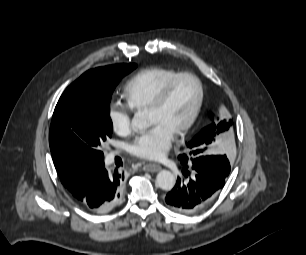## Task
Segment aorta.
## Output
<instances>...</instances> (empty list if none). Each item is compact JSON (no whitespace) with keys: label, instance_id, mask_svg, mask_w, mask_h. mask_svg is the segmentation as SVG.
Here are the masks:
<instances>
[{"label":"aorta","instance_id":"1","mask_svg":"<svg viewBox=\"0 0 306 255\" xmlns=\"http://www.w3.org/2000/svg\"><path fill=\"white\" fill-rule=\"evenodd\" d=\"M132 126L134 129H145L148 127V121L145 115L138 111L135 113L132 119ZM176 179L173 173L168 170H162L157 174L156 184L159 188L169 191L175 186Z\"/></svg>","mask_w":306,"mask_h":255}]
</instances>
